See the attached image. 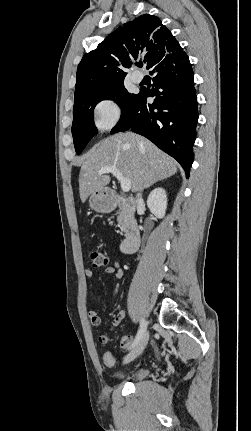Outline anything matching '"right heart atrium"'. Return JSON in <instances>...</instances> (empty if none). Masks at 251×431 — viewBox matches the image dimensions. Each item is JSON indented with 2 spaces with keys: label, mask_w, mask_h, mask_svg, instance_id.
I'll return each mask as SVG.
<instances>
[{
  "label": "right heart atrium",
  "mask_w": 251,
  "mask_h": 431,
  "mask_svg": "<svg viewBox=\"0 0 251 431\" xmlns=\"http://www.w3.org/2000/svg\"><path fill=\"white\" fill-rule=\"evenodd\" d=\"M93 124L99 131L112 129L120 120L121 108L112 98L97 101L92 108Z\"/></svg>",
  "instance_id": "1"
}]
</instances>
